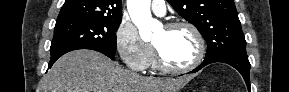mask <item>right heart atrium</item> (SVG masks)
<instances>
[{"instance_id":"right-heart-atrium-1","label":"right heart atrium","mask_w":289,"mask_h":92,"mask_svg":"<svg viewBox=\"0 0 289 92\" xmlns=\"http://www.w3.org/2000/svg\"><path fill=\"white\" fill-rule=\"evenodd\" d=\"M115 43L121 59L129 68L143 71L152 63V46L141 39L136 27L130 22L120 23L115 33Z\"/></svg>"}]
</instances>
